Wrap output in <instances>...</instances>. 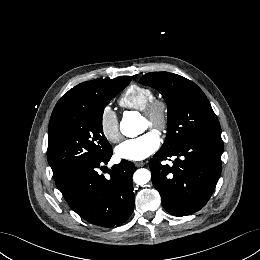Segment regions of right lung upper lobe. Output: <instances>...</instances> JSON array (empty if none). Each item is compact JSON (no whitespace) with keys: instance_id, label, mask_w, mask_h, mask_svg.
Listing matches in <instances>:
<instances>
[{"instance_id":"right-lung-upper-lobe-1","label":"right lung upper lobe","mask_w":260,"mask_h":260,"mask_svg":"<svg viewBox=\"0 0 260 260\" xmlns=\"http://www.w3.org/2000/svg\"><path fill=\"white\" fill-rule=\"evenodd\" d=\"M131 81V77H121L116 79H96L83 82L70 89L56 104L50 119L49 125L55 123L63 116L73 111L83 104L86 99L99 89L110 84H124Z\"/></svg>"}]
</instances>
